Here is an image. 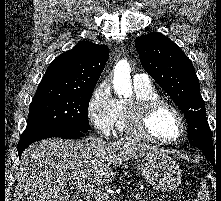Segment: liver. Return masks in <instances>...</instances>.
<instances>
[{"label": "liver", "instance_id": "obj_1", "mask_svg": "<svg viewBox=\"0 0 221 201\" xmlns=\"http://www.w3.org/2000/svg\"><path fill=\"white\" fill-rule=\"evenodd\" d=\"M157 151L146 144L100 138L42 140L21 155L14 201H71L67 184L91 180L107 185L115 178L112 165Z\"/></svg>", "mask_w": 221, "mask_h": 201}]
</instances>
